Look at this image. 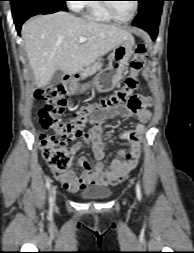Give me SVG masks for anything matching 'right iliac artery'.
<instances>
[{
    "mask_svg": "<svg viewBox=\"0 0 194 253\" xmlns=\"http://www.w3.org/2000/svg\"><path fill=\"white\" fill-rule=\"evenodd\" d=\"M50 186H51V183H50V180L48 179V180L46 181V188H47L48 190H50ZM49 204H50V207L53 206V200H52V196H51V195H50V197H49Z\"/></svg>",
    "mask_w": 194,
    "mask_h": 253,
    "instance_id": "obj_1",
    "label": "right iliac artery"
}]
</instances>
